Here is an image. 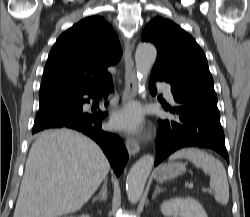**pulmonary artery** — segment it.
<instances>
[{"label": "pulmonary artery", "mask_w": 250, "mask_h": 217, "mask_svg": "<svg viewBox=\"0 0 250 217\" xmlns=\"http://www.w3.org/2000/svg\"><path fill=\"white\" fill-rule=\"evenodd\" d=\"M158 88L164 93L165 97L168 101L173 102V95L171 92V87L168 83L165 82H158L157 83Z\"/></svg>", "instance_id": "1"}]
</instances>
